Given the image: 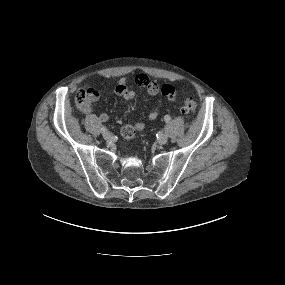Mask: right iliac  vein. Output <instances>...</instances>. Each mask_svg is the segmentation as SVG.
I'll list each match as a JSON object with an SVG mask.
<instances>
[{
  "label": "right iliac vein",
  "mask_w": 285,
  "mask_h": 285,
  "mask_svg": "<svg viewBox=\"0 0 285 285\" xmlns=\"http://www.w3.org/2000/svg\"><path fill=\"white\" fill-rule=\"evenodd\" d=\"M103 138H104L105 140H111V139L113 138V135H112V133H110V132H108V131H105V132L103 133Z\"/></svg>",
  "instance_id": "1"
}]
</instances>
